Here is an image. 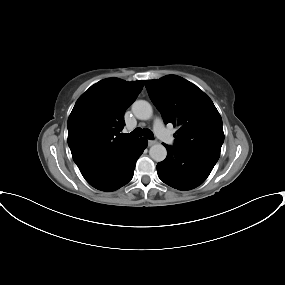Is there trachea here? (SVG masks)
I'll list each match as a JSON object with an SVG mask.
<instances>
[{
    "label": "trachea",
    "instance_id": "obj_1",
    "mask_svg": "<svg viewBox=\"0 0 285 285\" xmlns=\"http://www.w3.org/2000/svg\"><path fill=\"white\" fill-rule=\"evenodd\" d=\"M147 139L152 140L153 139V132L150 129L142 130L141 128H136L133 132L128 134H123V137L125 138H137L143 136Z\"/></svg>",
    "mask_w": 285,
    "mask_h": 285
}]
</instances>
